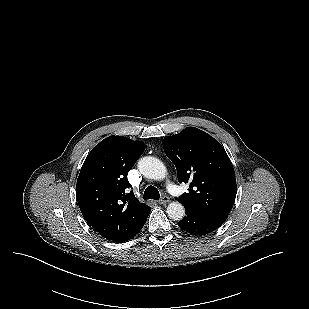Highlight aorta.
Segmentation results:
<instances>
[{
    "instance_id": "obj_1",
    "label": "aorta",
    "mask_w": 309,
    "mask_h": 309,
    "mask_svg": "<svg viewBox=\"0 0 309 309\" xmlns=\"http://www.w3.org/2000/svg\"><path fill=\"white\" fill-rule=\"evenodd\" d=\"M139 171L146 178L153 180H162L167 175V170L165 165L157 158L152 156H146L139 160L138 162ZM167 215L175 220H182L185 216V208L180 202H172L167 207Z\"/></svg>"
}]
</instances>
